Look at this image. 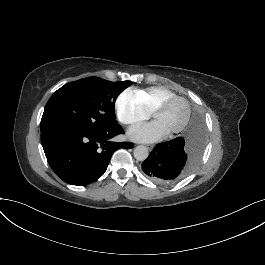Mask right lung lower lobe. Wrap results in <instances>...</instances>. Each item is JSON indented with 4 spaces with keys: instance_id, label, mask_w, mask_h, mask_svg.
Masks as SVG:
<instances>
[{
    "instance_id": "obj_1",
    "label": "right lung lower lobe",
    "mask_w": 265,
    "mask_h": 265,
    "mask_svg": "<svg viewBox=\"0 0 265 265\" xmlns=\"http://www.w3.org/2000/svg\"><path fill=\"white\" fill-rule=\"evenodd\" d=\"M124 130L118 124L101 129L92 126H61L41 133V143L49 165L68 184L84 186L106 171L112 154L133 143L111 142Z\"/></svg>"
}]
</instances>
